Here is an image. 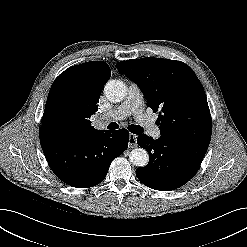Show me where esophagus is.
<instances>
[{"instance_id": "obj_1", "label": "esophagus", "mask_w": 247, "mask_h": 247, "mask_svg": "<svg viewBox=\"0 0 247 247\" xmlns=\"http://www.w3.org/2000/svg\"><path fill=\"white\" fill-rule=\"evenodd\" d=\"M129 147L130 148H135L137 147V136L135 134H130L129 135Z\"/></svg>"}]
</instances>
